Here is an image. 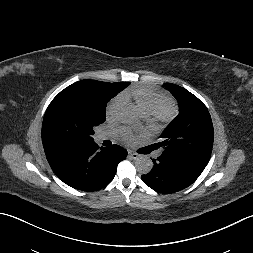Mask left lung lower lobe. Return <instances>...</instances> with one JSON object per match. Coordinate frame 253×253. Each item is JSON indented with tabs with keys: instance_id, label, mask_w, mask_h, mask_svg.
Returning <instances> with one entry per match:
<instances>
[{
	"instance_id": "1",
	"label": "left lung lower lobe",
	"mask_w": 253,
	"mask_h": 253,
	"mask_svg": "<svg viewBox=\"0 0 253 253\" xmlns=\"http://www.w3.org/2000/svg\"><path fill=\"white\" fill-rule=\"evenodd\" d=\"M152 161L154 163L152 170L141 178L150 188L163 194L174 193L188 187L204 170L188 161L165 154Z\"/></svg>"
}]
</instances>
